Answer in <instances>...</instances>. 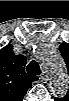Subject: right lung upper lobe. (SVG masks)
<instances>
[{"mask_svg":"<svg viewBox=\"0 0 69 101\" xmlns=\"http://www.w3.org/2000/svg\"><path fill=\"white\" fill-rule=\"evenodd\" d=\"M14 60H8L7 64L1 66V94L9 99H22L31 85L32 81L37 80L36 76L27 75L24 70L26 58L23 55H13ZM9 62V63H8Z\"/></svg>","mask_w":69,"mask_h":101,"instance_id":"obj_1","label":"right lung upper lobe"}]
</instances>
